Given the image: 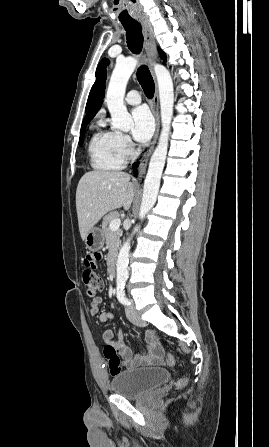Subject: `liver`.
<instances>
[{"instance_id": "1", "label": "liver", "mask_w": 269, "mask_h": 447, "mask_svg": "<svg viewBox=\"0 0 269 447\" xmlns=\"http://www.w3.org/2000/svg\"><path fill=\"white\" fill-rule=\"evenodd\" d=\"M134 186L125 172H86L76 190V210L82 239L104 214L116 208L129 210Z\"/></svg>"}]
</instances>
